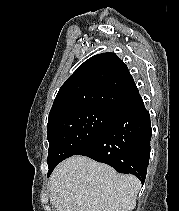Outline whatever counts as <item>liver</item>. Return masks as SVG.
<instances>
[{
    "mask_svg": "<svg viewBox=\"0 0 179 211\" xmlns=\"http://www.w3.org/2000/svg\"><path fill=\"white\" fill-rule=\"evenodd\" d=\"M141 188L138 178L109 165L72 156L50 177V203L57 211H131Z\"/></svg>",
    "mask_w": 179,
    "mask_h": 211,
    "instance_id": "6515ba94",
    "label": "liver"
}]
</instances>
